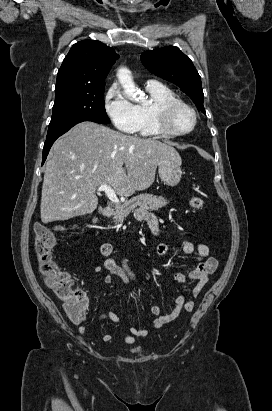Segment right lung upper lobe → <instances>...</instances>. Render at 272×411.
<instances>
[{
  "label": "right lung upper lobe",
  "mask_w": 272,
  "mask_h": 411,
  "mask_svg": "<svg viewBox=\"0 0 272 411\" xmlns=\"http://www.w3.org/2000/svg\"><path fill=\"white\" fill-rule=\"evenodd\" d=\"M113 48L97 40H83L72 46L57 74L55 92L105 84L115 60Z\"/></svg>",
  "instance_id": "cb5924a9"
}]
</instances>
